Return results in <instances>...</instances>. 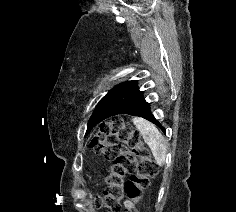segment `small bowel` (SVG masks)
Returning <instances> with one entry per match:
<instances>
[{"label": "small bowel", "mask_w": 236, "mask_h": 212, "mask_svg": "<svg viewBox=\"0 0 236 212\" xmlns=\"http://www.w3.org/2000/svg\"><path fill=\"white\" fill-rule=\"evenodd\" d=\"M126 205H127L128 207H131V206H132V203H131V202H127Z\"/></svg>", "instance_id": "small-bowel-1"}]
</instances>
